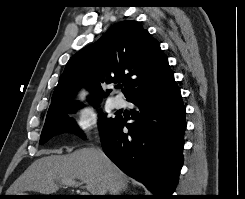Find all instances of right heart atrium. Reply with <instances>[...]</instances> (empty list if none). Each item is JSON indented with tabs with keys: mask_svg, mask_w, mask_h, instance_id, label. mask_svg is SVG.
Returning <instances> with one entry per match:
<instances>
[{
	"mask_svg": "<svg viewBox=\"0 0 245 199\" xmlns=\"http://www.w3.org/2000/svg\"><path fill=\"white\" fill-rule=\"evenodd\" d=\"M98 124V116L95 110L84 108L79 110L75 116V126L81 132L88 133L94 130Z\"/></svg>",
	"mask_w": 245,
	"mask_h": 199,
	"instance_id": "1",
	"label": "right heart atrium"
}]
</instances>
